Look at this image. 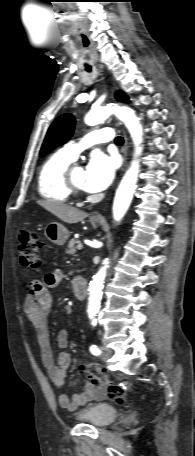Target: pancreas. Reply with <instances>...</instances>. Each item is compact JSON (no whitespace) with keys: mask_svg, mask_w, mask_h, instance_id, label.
<instances>
[{"mask_svg":"<svg viewBox=\"0 0 195 456\" xmlns=\"http://www.w3.org/2000/svg\"><path fill=\"white\" fill-rule=\"evenodd\" d=\"M80 242L77 239H71L68 243L66 253L69 255H74L76 253V244Z\"/></svg>","mask_w":195,"mask_h":456,"instance_id":"1","label":"pancreas"}]
</instances>
